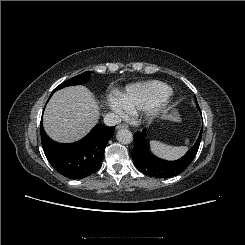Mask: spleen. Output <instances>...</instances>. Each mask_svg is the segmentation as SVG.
<instances>
[{"instance_id": "obj_1", "label": "spleen", "mask_w": 245, "mask_h": 245, "mask_svg": "<svg viewBox=\"0 0 245 245\" xmlns=\"http://www.w3.org/2000/svg\"><path fill=\"white\" fill-rule=\"evenodd\" d=\"M189 140H186L188 142ZM151 151L158 157L167 160H176L182 157L187 151V146H171L160 141H150Z\"/></svg>"}]
</instances>
